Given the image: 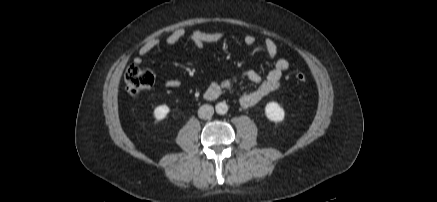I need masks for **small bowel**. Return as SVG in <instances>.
Wrapping results in <instances>:
<instances>
[{"instance_id":"small-bowel-1","label":"small bowel","mask_w":437,"mask_h":202,"mask_svg":"<svg viewBox=\"0 0 437 202\" xmlns=\"http://www.w3.org/2000/svg\"><path fill=\"white\" fill-rule=\"evenodd\" d=\"M185 35L186 31L183 28H177L165 37L147 41L139 49L137 56L134 58V62L136 64H141L144 57L154 49L174 45ZM224 37L225 34L222 32H204L201 30H194L189 34L190 40L199 49H202L206 43L217 42ZM243 42L249 46L254 45L256 43V38L253 35H246L243 38ZM262 47L268 58L276 59L278 46L273 39H264ZM288 68L289 62L284 58H278L275 60L272 69L268 72L265 78H262L255 70H248L239 77L213 82L206 91V97L211 100L216 99L225 90L231 88L239 78H244L257 84V87L254 90L248 91L240 97L241 106L244 108H250L280 87L282 75ZM164 85L169 88H178L181 84L177 80H166Z\"/></svg>"}]
</instances>
